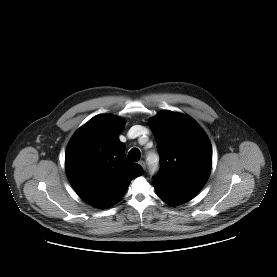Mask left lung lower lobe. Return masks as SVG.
Returning a JSON list of instances; mask_svg holds the SVG:
<instances>
[{
    "label": "left lung lower lobe",
    "mask_w": 277,
    "mask_h": 277,
    "mask_svg": "<svg viewBox=\"0 0 277 277\" xmlns=\"http://www.w3.org/2000/svg\"><path fill=\"white\" fill-rule=\"evenodd\" d=\"M154 188L157 192V195L162 200H164L166 203H168L169 205H172V206L179 205L183 202H187L192 199L191 197H188V196L168 192V191H166L162 188L156 187V186H154Z\"/></svg>",
    "instance_id": "obj_1"
}]
</instances>
